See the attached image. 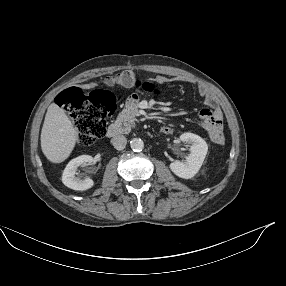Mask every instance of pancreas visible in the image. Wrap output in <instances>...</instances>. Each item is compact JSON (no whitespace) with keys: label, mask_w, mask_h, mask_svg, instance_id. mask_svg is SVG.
<instances>
[{"label":"pancreas","mask_w":286,"mask_h":286,"mask_svg":"<svg viewBox=\"0 0 286 286\" xmlns=\"http://www.w3.org/2000/svg\"><path fill=\"white\" fill-rule=\"evenodd\" d=\"M134 107L133 106H127L125 109L122 110V112L118 116V122H122L127 120L130 115L133 113Z\"/></svg>","instance_id":"cf45deb5"}]
</instances>
